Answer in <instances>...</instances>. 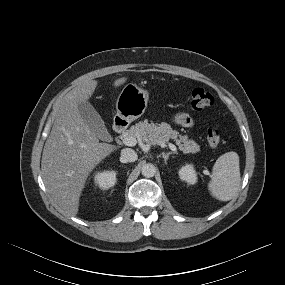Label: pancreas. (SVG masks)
<instances>
[{
  "instance_id": "obj_1",
  "label": "pancreas",
  "mask_w": 285,
  "mask_h": 285,
  "mask_svg": "<svg viewBox=\"0 0 285 285\" xmlns=\"http://www.w3.org/2000/svg\"><path fill=\"white\" fill-rule=\"evenodd\" d=\"M126 136L137 137L146 143L158 145L168 143L169 139H174L176 145L184 153H196L200 150V146L195 141L188 139L187 135L182 136L164 122L157 124L148 123L147 120L140 121L127 130Z\"/></svg>"
}]
</instances>
